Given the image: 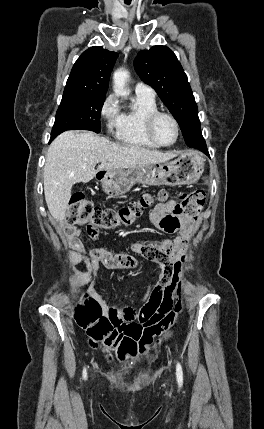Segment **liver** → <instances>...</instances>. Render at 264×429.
Instances as JSON below:
<instances>
[{
  "label": "liver",
  "mask_w": 264,
  "mask_h": 429,
  "mask_svg": "<svg viewBox=\"0 0 264 429\" xmlns=\"http://www.w3.org/2000/svg\"><path fill=\"white\" fill-rule=\"evenodd\" d=\"M177 154L117 144L89 131H66L51 143L46 156L44 195L49 212L54 219L63 221L72 186L89 182L99 170L165 163ZM98 163L101 164L96 171Z\"/></svg>",
  "instance_id": "6515ba94"
}]
</instances>
